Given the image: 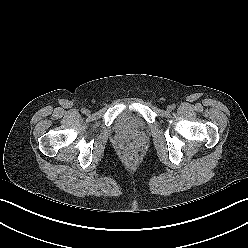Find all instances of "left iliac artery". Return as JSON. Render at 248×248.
<instances>
[{"mask_svg":"<svg viewBox=\"0 0 248 248\" xmlns=\"http://www.w3.org/2000/svg\"><path fill=\"white\" fill-rule=\"evenodd\" d=\"M171 107H172V109H175L176 105L175 104H172Z\"/></svg>","mask_w":248,"mask_h":248,"instance_id":"44dca946","label":"left iliac artery"}]
</instances>
